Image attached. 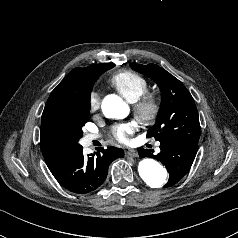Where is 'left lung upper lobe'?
Masks as SVG:
<instances>
[{
  "label": "left lung upper lobe",
  "instance_id": "left-lung-upper-lobe-1",
  "mask_svg": "<svg viewBox=\"0 0 238 238\" xmlns=\"http://www.w3.org/2000/svg\"><path fill=\"white\" fill-rule=\"evenodd\" d=\"M131 68L157 83L161 106L155 125L147 137L156 140L199 141L201 127L195 102L186 87L165 69L155 64H131Z\"/></svg>",
  "mask_w": 238,
  "mask_h": 238
}]
</instances>
